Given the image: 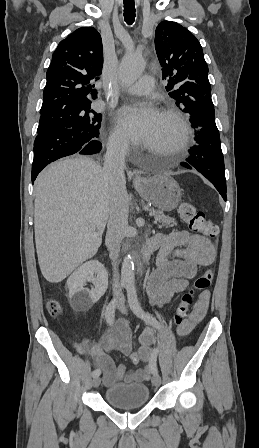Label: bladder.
I'll return each mask as SVG.
<instances>
[{"mask_svg": "<svg viewBox=\"0 0 259 448\" xmlns=\"http://www.w3.org/2000/svg\"><path fill=\"white\" fill-rule=\"evenodd\" d=\"M149 388L143 383H117L105 390V399L113 407L130 410L147 404Z\"/></svg>", "mask_w": 259, "mask_h": 448, "instance_id": "1", "label": "bladder"}]
</instances>
